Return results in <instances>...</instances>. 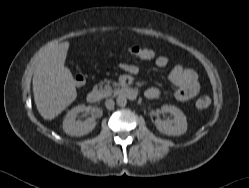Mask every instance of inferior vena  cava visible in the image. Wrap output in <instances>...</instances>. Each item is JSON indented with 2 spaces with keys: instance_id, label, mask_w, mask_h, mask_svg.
<instances>
[{
  "instance_id": "obj_1",
  "label": "inferior vena cava",
  "mask_w": 249,
  "mask_h": 188,
  "mask_svg": "<svg viewBox=\"0 0 249 188\" xmlns=\"http://www.w3.org/2000/svg\"><path fill=\"white\" fill-rule=\"evenodd\" d=\"M115 102L113 101V99H108L105 102V106L107 109L111 110L114 108Z\"/></svg>"
}]
</instances>
